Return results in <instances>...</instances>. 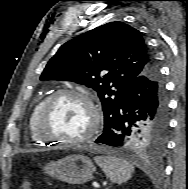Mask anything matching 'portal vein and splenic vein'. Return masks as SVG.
Returning <instances> with one entry per match:
<instances>
[{
  "label": "portal vein and splenic vein",
  "mask_w": 188,
  "mask_h": 189,
  "mask_svg": "<svg viewBox=\"0 0 188 189\" xmlns=\"http://www.w3.org/2000/svg\"><path fill=\"white\" fill-rule=\"evenodd\" d=\"M93 186H94V187H96V188H98V187H99V185H98V184H94Z\"/></svg>",
  "instance_id": "portal-vein-and-splenic-vein-1"
}]
</instances>
